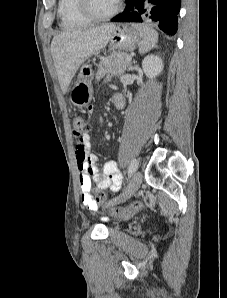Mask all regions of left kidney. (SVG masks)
<instances>
[{
  "label": "left kidney",
  "instance_id": "1",
  "mask_svg": "<svg viewBox=\"0 0 227 298\" xmlns=\"http://www.w3.org/2000/svg\"><path fill=\"white\" fill-rule=\"evenodd\" d=\"M142 68L147 77L155 78L163 70V61L158 56L148 55L142 61Z\"/></svg>",
  "mask_w": 227,
  "mask_h": 298
}]
</instances>
